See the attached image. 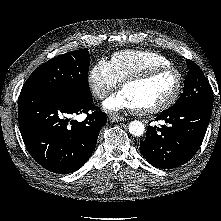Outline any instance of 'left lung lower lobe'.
<instances>
[{
  "mask_svg": "<svg viewBox=\"0 0 221 221\" xmlns=\"http://www.w3.org/2000/svg\"><path fill=\"white\" fill-rule=\"evenodd\" d=\"M211 113L212 105L206 104L161 113L156 120L167 125L148 127L140 144L144 158L156 168H175L188 162L204 139Z\"/></svg>",
  "mask_w": 221,
  "mask_h": 221,
  "instance_id": "0a47b994",
  "label": "left lung lower lobe"
}]
</instances>
